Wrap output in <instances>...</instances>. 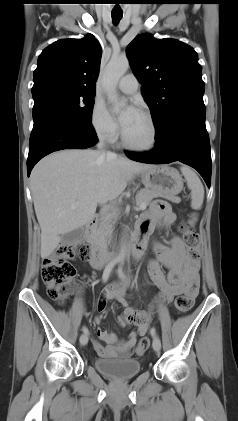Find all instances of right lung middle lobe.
Segmentation results:
<instances>
[{"instance_id":"dd1d6c3e","label":"right lung middle lobe","mask_w":238,"mask_h":421,"mask_svg":"<svg viewBox=\"0 0 238 421\" xmlns=\"http://www.w3.org/2000/svg\"><path fill=\"white\" fill-rule=\"evenodd\" d=\"M32 96L34 99L33 111L44 106H51L80 123L92 125L95 90L47 82L33 86Z\"/></svg>"}]
</instances>
